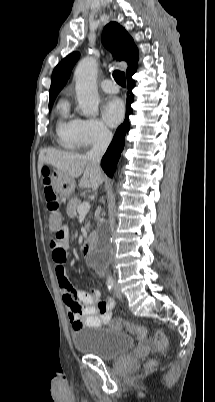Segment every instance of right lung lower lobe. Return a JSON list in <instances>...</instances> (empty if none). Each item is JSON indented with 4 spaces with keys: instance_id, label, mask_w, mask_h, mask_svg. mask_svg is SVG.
I'll return each mask as SVG.
<instances>
[{
    "instance_id": "obj_1",
    "label": "right lung lower lobe",
    "mask_w": 215,
    "mask_h": 402,
    "mask_svg": "<svg viewBox=\"0 0 215 402\" xmlns=\"http://www.w3.org/2000/svg\"><path fill=\"white\" fill-rule=\"evenodd\" d=\"M127 82H128V91L130 93L127 94V103H126V118L123 124H121L111 142L109 145L106 153L104 154L102 161H101V166L105 173L112 177L113 172L115 170L116 164L118 162L119 156L121 151L123 150V147L125 145V135L129 131L130 124L128 121V117L130 114H132V108H131V103L134 100V96L132 94V89L135 86V81L132 79V76L127 77Z\"/></svg>"
}]
</instances>
